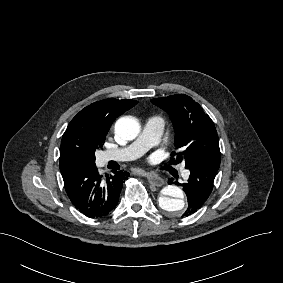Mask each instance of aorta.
Wrapping results in <instances>:
<instances>
[{"label": "aorta", "instance_id": "1", "mask_svg": "<svg viewBox=\"0 0 283 283\" xmlns=\"http://www.w3.org/2000/svg\"><path fill=\"white\" fill-rule=\"evenodd\" d=\"M115 132L124 140H133L140 132V124L133 117H122L115 123ZM183 191L175 186L168 185L163 188L162 194L158 199L161 209L179 216L185 208Z\"/></svg>", "mask_w": 283, "mask_h": 283}]
</instances>
